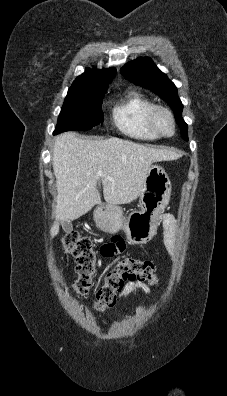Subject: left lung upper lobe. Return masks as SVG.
<instances>
[{"label":"left lung upper lobe","instance_id":"obj_1","mask_svg":"<svg viewBox=\"0 0 227 396\" xmlns=\"http://www.w3.org/2000/svg\"><path fill=\"white\" fill-rule=\"evenodd\" d=\"M121 73L136 85L150 89L170 105L180 127L182 138L188 141L187 124L182 118L183 104L178 97L177 88L153 61L147 57L133 60L121 68Z\"/></svg>","mask_w":227,"mask_h":396}]
</instances>
